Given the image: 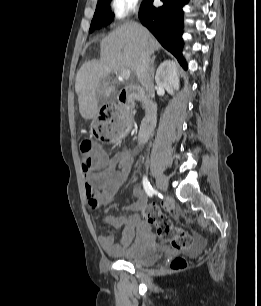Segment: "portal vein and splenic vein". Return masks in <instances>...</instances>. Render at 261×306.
I'll return each mask as SVG.
<instances>
[{"label": "portal vein and splenic vein", "instance_id": "1", "mask_svg": "<svg viewBox=\"0 0 261 306\" xmlns=\"http://www.w3.org/2000/svg\"><path fill=\"white\" fill-rule=\"evenodd\" d=\"M130 76H131V71L129 69H124L119 74V78L126 80V81L130 78Z\"/></svg>", "mask_w": 261, "mask_h": 306}]
</instances>
